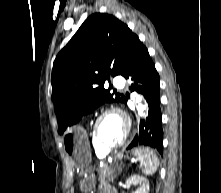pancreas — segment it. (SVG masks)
Segmentation results:
<instances>
[{
    "label": "pancreas",
    "instance_id": "1",
    "mask_svg": "<svg viewBox=\"0 0 221 193\" xmlns=\"http://www.w3.org/2000/svg\"><path fill=\"white\" fill-rule=\"evenodd\" d=\"M116 177V170L115 168L109 166L108 164H105L99 172V188H103L106 186L109 182L113 181Z\"/></svg>",
    "mask_w": 221,
    "mask_h": 193
}]
</instances>
